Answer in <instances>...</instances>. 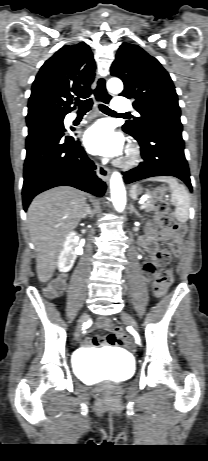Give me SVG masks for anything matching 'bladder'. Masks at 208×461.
<instances>
[{
    "instance_id": "31cf9c89",
    "label": "bladder",
    "mask_w": 208,
    "mask_h": 461,
    "mask_svg": "<svg viewBox=\"0 0 208 461\" xmlns=\"http://www.w3.org/2000/svg\"><path fill=\"white\" fill-rule=\"evenodd\" d=\"M132 360L122 354L106 352L105 356L94 360L89 353H83L75 358L76 373L88 381L110 379L124 381L132 374Z\"/></svg>"
}]
</instances>
